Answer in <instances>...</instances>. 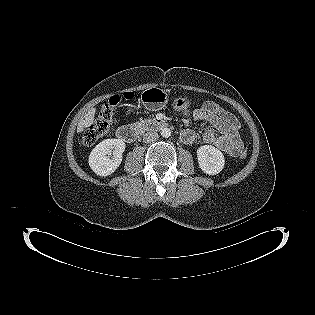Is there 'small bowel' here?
I'll return each mask as SVG.
<instances>
[{
	"instance_id": "obj_1",
	"label": "small bowel",
	"mask_w": 315,
	"mask_h": 315,
	"mask_svg": "<svg viewBox=\"0 0 315 315\" xmlns=\"http://www.w3.org/2000/svg\"><path fill=\"white\" fill-rule=\"evenodd\" d=\"M178 111L184 116H191L195 120L204 121L210 125V128L206 129L200 136L191 129H183L180 138L184 144L192 145L201 142L215 146L231 156H238L243 150L238 119L216 102L205 101L194 110L186 108Z\"/></svg>"
}]
</instances>
